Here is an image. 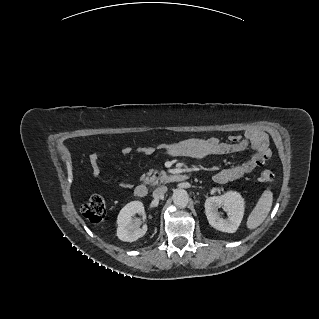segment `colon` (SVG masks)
Returning a JSON list of instances; mask_svg holds the SVG:
<instances>
[{"label":"colon","instance_id":"obj_1","mask_svg":"<svg viewBox=\"0 0 319 319\" xmlns=\"http://www.w3.org/2000/svg\"><path fill=\"white\" fill-rule=\"evenodd\" d=\"M262 154L264 157L268 158L271 154L270 149L267 145L262 148ZM260 178L263 181H272L274 179V174L269 170H264L260 174ZM83 216L92 223L101 222L106 214L105 200L101 195H92L83 205H82Z\"/></svg>","mask_w":319,"mask_h":319}]
</instances>
